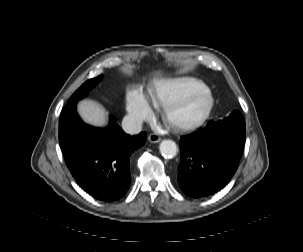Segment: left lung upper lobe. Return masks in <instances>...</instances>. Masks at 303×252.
I'll use <instances>...</instances> for the list:
<instances>
[{
  "mask_svg": "<svg viewBox=\"0 0 303 252\" xmlns=\"http://www.w3.org/2000/svg\"><path fill=\"white\" fill-rule=\"evenodd\" d=\"M218 125H245V121L242 114L239 111L234 110L229 117L223 120L217 122L210 121L207 124V127H214Z\"/></svg>",
  "mask_w": 303,
  "mask_h": 252,
  "instance_id": "1",
  "label": "left lung upper lobe"
}]
</instances>
